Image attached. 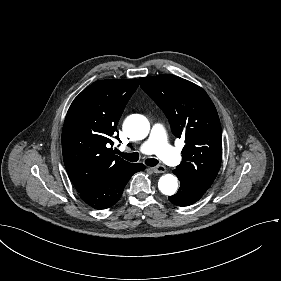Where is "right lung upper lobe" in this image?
I'll return each mask as SVG.
<instances>
[{
    "instance_id": "right-lung-upper-lobe-1",
    "label": "right lung upper lobe",
    "mask_w": 281,
    "mask_h": 281,
    "mask_svg": "<svg viewBox=\"0 0 281 281\" xmlns=\"http://www.w3.org/2000/svg\"><path fill=\"white\" fill-rule=\"evenodd\" d=\"M137 87V79L100 80L72 102L62 131V152L68 176L79 193L102 185L134 165L114 155L109 147Z\"/></svg>"
}]
</instances>
